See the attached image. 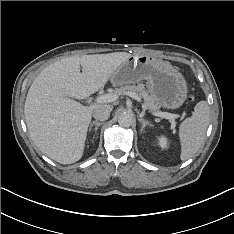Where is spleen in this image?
<instances>
[{"label":"spleen","instance_id":"obj_1","mask_svg":"<svg viewBox=\"0 0 234 234\" xmlns=\"http://www.w3.org/2000/svg\"><path fill=\"white\" fill-rule=\"evenodd\" d=\"M210 123V108L206 101L196 104L191 117L186 118L179 127L181 160L193 157L200 149Z\"/></svg>","mask_w":234,"mask_h":234}]
</instances>
